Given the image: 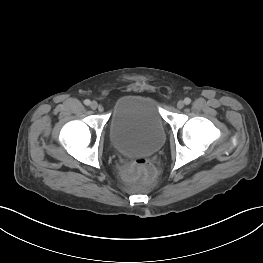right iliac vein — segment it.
<instances>
[{
	"mask_svg": "<svg viewBox=\"0 0 263 263\" xmlns=\"http://www.w3.org/2000/svg\"><path fill=\"white\" fill-rule=\"evenodd\" d=\"M90 108H91L92 110H96V109L98 108V103H97L96 101H92V102L90 103Z\"/></svg>",
	"mask_w": 263,
	"mask_h": 263,
	"instance_id": "obj_1",
	"label": "right iliac vein"
}]
</instances>
